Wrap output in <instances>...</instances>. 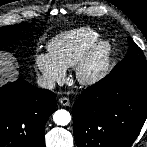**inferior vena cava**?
Listing matches in <instances>:
<instances>
[{"mask_svg":"<svg viewBox=\"0 0 147 147\" xmlns=\"http://www.w3.org/2000/svg\"><path fill=\"white\" fill-rule=\"evenodd\" d=\"M37 84L41 88L49 89V90L53 89L56 85V83L51 78L46 76H39L37 79Z\"/></svg>","mask_w":147,"mask_h":147,"instance_id":"1","label":"inferior vena cava"}]
</instances>
